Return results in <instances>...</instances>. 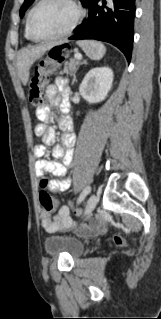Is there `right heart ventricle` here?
Returning a JSON list of instances; mask_svg holds the SVG:
<instances>
[{"label":"right heart ventricle","instance_id":"obj_1","mask_svg":"<svg viewBox=\"0 0 161 319\" xmlns=\"http://www.w3.org/2000/svg\"><path fill=\"white\" fill-rule=\"evenodd\" d=\"M31 10H32V9H31ZM31 10L28 12V14H27V16H26V23H25V29H24V36H25V38L28 39V40H29L30 38H29L28 32H27V22H28V17H29V15H30Z\"/></svg>","mask_w":161,"mask_h":319}]
</instances>
